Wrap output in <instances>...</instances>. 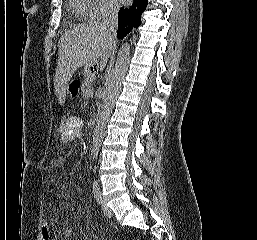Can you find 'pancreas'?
Wrapping results in <instances>:
<instances>
[{"label": "pancreas", "mask_w": 257, "mask_h": 240, "mask_svg": "<svg viewBox=\"0 0 257 240\" xmlns=\"http://www.w3.org/2000/svg\"><path fill=\"white\" fill-rule=\"evenodd\" d=\"M87 72V71H86ZM89 73L87 72V79L84 81L83 85H82V96L84 98H87L89 97L88 96V91L90 90L91 88V83H90V78H89Z\"/></svg>", "instance_id": "1"}]
</instances>
